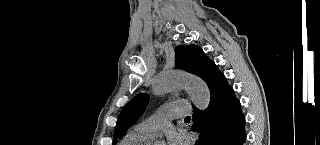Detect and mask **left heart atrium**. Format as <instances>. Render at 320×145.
I'll return each mask as SVG.
<instances>
[{
    "mask_svg": "<svg viewBox=\"0 0 320 145\" xmlns=\"http://www.w3.org/2000/svg\"><path fill=\"white\" fill-rule=\"evenodd\" d=\"M169 145H186V137L182 133H172L168 138Z\"/></svg>",
    "mask_w": 320,
    "mask_h": 145,
    "instance_id": "obj_1",
    "label": "left heart atrium"
}]
</instances>
